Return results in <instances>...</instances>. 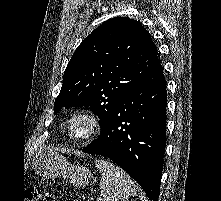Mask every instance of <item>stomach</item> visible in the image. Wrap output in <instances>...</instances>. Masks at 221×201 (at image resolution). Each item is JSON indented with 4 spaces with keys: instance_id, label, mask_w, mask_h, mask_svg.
I'll list each match as a JSON object with an SVG mask.
<instances>
[{
    "instance_id": "stomach-1",
    "label": "stomach",
    "mask_w": 221,
    "mask_h": 201,
    "mask_svg": "<svg viewBox=\"0 0 221 201\" xmlns=\"http://www.w3.org/2000/svg\"><path fill=\"white\" fill-rule=\"evenodd\" d=\"M35 172L44 178L63 176L69 178L72 184L87 186L91 180V171L80 165L68 162L64 157L53 151H43L33 160Z\"/></svg>"
}]
</instances>
